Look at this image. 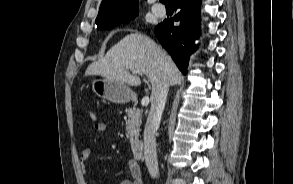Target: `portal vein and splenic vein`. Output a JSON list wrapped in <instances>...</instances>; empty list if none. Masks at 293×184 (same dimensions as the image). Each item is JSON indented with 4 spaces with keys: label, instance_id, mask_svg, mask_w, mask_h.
Here are the masks:
<instances>
[{
    "label": "portal vein and splenic vein",
    "instance_id": "18ae733b",
    "mask_svg": "<svg viewBox=\"0 0 293 184\" xmlns=\"http://www.w3.org/2000/svg\"><path fill=\"white\" fill-rule=\"evenodd\" d=\"M132 73L133 74H139V75H144V73H142L141 71L139 70H132ZM149 104V97L148 96H145L143 97L142 101H141V105L142 106H147Z\"/></svg>",
    "mask_w": 293,
    "mask_h": 184
}]
</instances>
